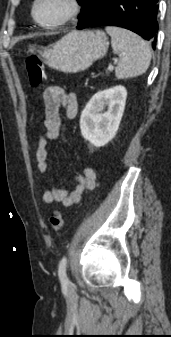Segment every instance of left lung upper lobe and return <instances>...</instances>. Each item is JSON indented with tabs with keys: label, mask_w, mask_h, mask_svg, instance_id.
Instances as JSON below:
<instances>
[{
	"label": "left lung upper lobe",
	"mask_w": 171,
	"mask_h": 337,
	"mask_svg": "<svg viewBox=\"0 0 171 337\" xmlns=\"http://www.w3.org/2000/svg\"><path fill=\"white\" fill-rule=\"evenodd\" d=\"M77 1L82 6L81 14H80V16H81L83 14V12L85 11L86 5H87L89 0H77ZM80 16H79V18H80Z\"/></svg>",
	"instance_id": "5c2ea615"
}]
</instances>
